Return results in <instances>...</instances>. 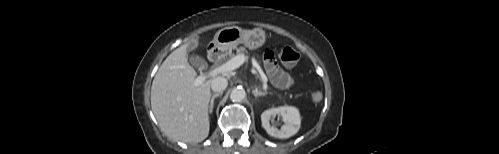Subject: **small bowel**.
<instances>
[{"mask_svg": "<svg viewBox=\"0 0 499 154\" xmlns=\"http://www.w3.org/2000/svg\"><path fill=\"white\" fill-rule=\"evenodd\" d=\"M265 68L271 82L276 87L284 89L293 85L294 81L292 77L278 66L271 50L265 52Z\"/></svg>", "mask_w": 499, "mask_h": 154, "instance_id": "small-bowel-1", "label": "small bowel"}]
</instances>
